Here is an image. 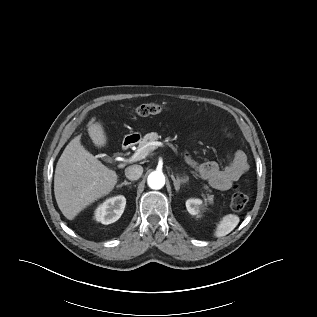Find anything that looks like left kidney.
<instances>
[{
	"label": "left kidney",
	"mask_w": 317,
	"mask_h": 317,
	"mask_svg": "<svg viewBox=\"0 0 317 317\" xmlns=\"http://www.w3.org/2000/svg\"><path fill=\"white\" fill-rule=\"evenodd\" d=\"M186 208L191 215L197 216V218L202 216V213L205 209L204 205L202 204V200L194 198L188 199L186 201Z\"/></svg>",
	"instance_id": "left-kidney-1"
}]
</instances>
